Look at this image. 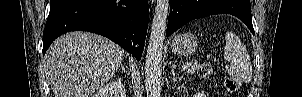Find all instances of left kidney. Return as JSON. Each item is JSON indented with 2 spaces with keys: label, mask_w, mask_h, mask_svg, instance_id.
<instances>
[{
  "label": "left kidney",
  "mask_w": 302,
  "mask_h": 97,
  "mask_svg": "<svg viewBox=\"0 0 302 97\" xmlns=\"http://www.w3.org/2000/svg\"><path fill=\"white\" fill-rule=\"evenodd\" d=\"M195 97H206V95H204V93H197Z\"/></svg>",
  "instance_id": "5707ae66"
}]
</instances>
